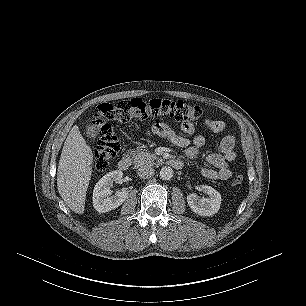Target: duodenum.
Listing matches in <instances>:
<instances>
[{"mask_svg":"<svg viewBox=\"0 0 306 306\" xmlns=\"http://www.w3.org/2000/svg\"><path fill=\"white\" fill-rule=\"evenodd\" d=\"M169 164H170V166H172L175 169H181V167H182L181 162L179 160H176V159L170 160ZM130 165H131V159L128 156H124L118 162V168L122 171L128 170Z\"/></svg>","mask_w":306,"mask_h":306,"instance_id":"410a0bca","label":"duodenum"}]
</instances>
